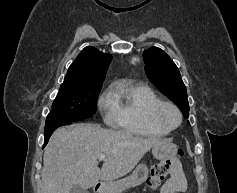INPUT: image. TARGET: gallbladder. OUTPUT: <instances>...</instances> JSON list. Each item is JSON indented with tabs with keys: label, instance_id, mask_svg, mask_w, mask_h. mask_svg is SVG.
Listing matches in <instances>:
<instances>
[{
	"label": "gallbladder",
	"instance_id": "1",
	"mask_svg": "<svg viewBox=\"0 0 237 193\" xmlns=\"http://www.w3.org/2000/svg\"><path fill=\"white\" fill-rule=\"evenodd\" d=\"M69 193H88L87 189L82 188L79 185H74Z\"/></svg>",
	"mask_w": 237,
	"mask_h": 193
}]
</instances>
